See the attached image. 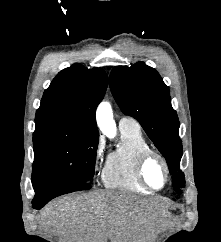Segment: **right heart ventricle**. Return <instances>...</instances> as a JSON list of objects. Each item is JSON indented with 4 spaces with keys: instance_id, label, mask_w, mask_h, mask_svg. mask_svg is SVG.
Instances as JSON below:
<instances>
[{
    "instance_id": "e07e8e85",
    "label": "right heart ventricle",
    "mask_w": 221,
    "mask_h": 242,
    "mask_svg": "<svg viewBox=\"0 0 221 242\" xmlns=\"http://www.w3.org/2000/svg\"><path fill=\"white\" fill-rule=\"evenodd\" d=\"M122 143L107 155L102 181L107 188L133 193H151L139 180L136 163L139 155L150 146L140 129L120 128Z\"/></svg>"
}]
</instances>
